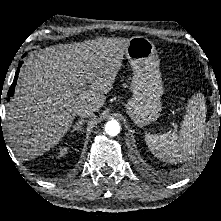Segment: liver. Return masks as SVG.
Returning <instances> with one entry per match:
<instances>
[{"label":"liver","instance_id":"1","mask_svg":"<svg viewBox=\"0 0 221 221\" xmlns=\"http://www.w3.org/2000/svg\"><path fill=\"white\" fill-rule=\"evenodd\" d=\"M128 38L58 44L31 54L19 73L6 130L14 151L33 159L55 147L82 105L99 110L122 66Z\"/></svg>","mask_w":221,"mask_h":221}]
</instances>
